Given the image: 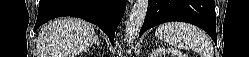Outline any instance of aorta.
<instances>
[{"label": "aorta", "instance_id": "1", "mask_svg": "<svg viewBox=\"0 0 249 57\" xmlns=\"http://www.w3.org/2000/svg\"><path fill=\"white\" fill-rule=\"evenodd\" d=\"M148 9V0H136L134 3L125 28V41L132 43L144 23Z\"/></svg>", "mask_w": 249, "mask_h": 57}]
</instances>
